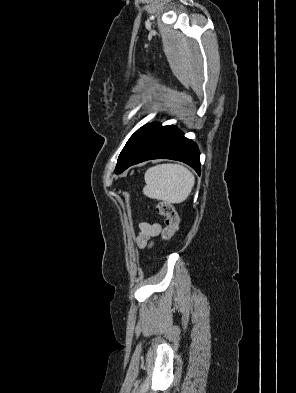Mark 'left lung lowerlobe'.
Instances as JSON below:
<instances>
[{
  "label": "left lung lower lobe",
  "mask_w": 296,
  "mask_h": 393,
  "mask_svg": "<svg viewBox=\"0 0 296 393\" xmlns=\"http://www.w3.org/2000/svg\"><path fill=\"white\" fill-rule=\"evenodd\" d=\"M199 155L197 145L185 138L177 127L152 123L137 141L120 173L146 160L167 158L182 161L200 174Z\"/></svg>",
  "instance_id": "left-lung-lower-lobe-1"
}]
</instances>
